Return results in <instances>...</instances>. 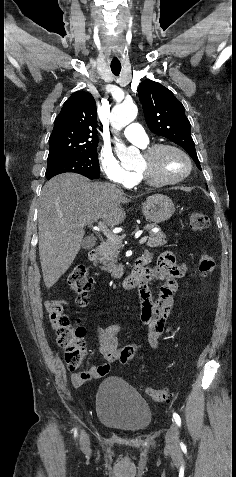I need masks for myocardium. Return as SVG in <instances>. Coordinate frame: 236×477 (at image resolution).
<instances>
[{
    "mask_svg": "<svg viewBox=\"0 0 236 477\" xmlns=\"http://www.w3.org/2000/svg\"><path fill=\"white\" fill-rule=\"evenodd\" d=\"M165 150H172L177 153H179L181 156L184 157V159L187 162V170L184 174L177 178L169 179V180H156L154 179L151 174L144 169H136V174L139 177V180L142 181L143 183L149 185V186H154V187H161V186H168V185H175L183 180H185L190 173L192 172L193 164L190 156L180 147L173 145V144H168V143H161V144H155L153 146L148 147L143 151V157L147 161H151L154 159L159 153L165 151Z\"/></svg>",
    "mask_w": 236,
    "mask_h": 477,
    "instance_id": "myocardium-1",
    "label": "myocardium"
}]
</instances>
